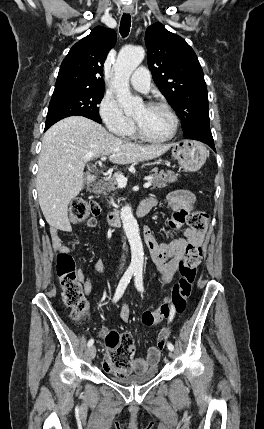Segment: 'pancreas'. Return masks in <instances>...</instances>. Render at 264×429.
Returning <instances> with one entry per match:
<instances>
[{"label": "pancreas", "mask_w": 264, "mask_h": 429, "mask_svg": "<svg viewBox=\"0 0 264 429\" xmlns=\"http://www.w3.org/2000/svg\"><path fill=\"white\" fill-rule=\"evenodd\" d=\"M178 174H174L173 171L155 172L150 175V181L153 183V188H162L167 186L168 183H174L177 180ZM117 181L115 176L105 177L98 182H96L90 191L98 194H104L108 196L109 193L113 192L116 189Z\"/></svg>", "instance_id": "1"}]
</instances>
